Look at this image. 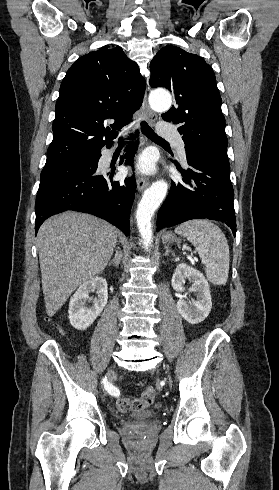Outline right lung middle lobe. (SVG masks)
Wrapping results in <instances>:
<instances>
[{
  "label": "right lung middle lobe",
  "mask_w": 279,
  "mask_h": 490,
  "mask_svg": "<svg viewBox=\"0 0 279 490\" xmlns=\"http://www.w3.org/2000/svg\"><path fill=\"white\" fill-rule=\"evenodd\" d=\"M95 157L80 158L64 162L46 164L41 172L40 184L54 182L71 176L91 174Z\"/></svg>",
  "instance_id": "dd1d6c3e"
}]
</instances>
